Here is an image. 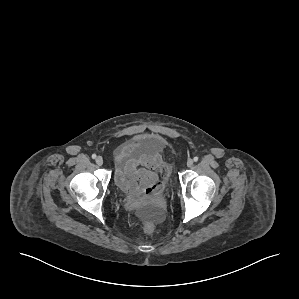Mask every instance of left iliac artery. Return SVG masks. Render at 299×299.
<instances>
[{"mask_svg": "<svg viewBox=\"0 0 299 299\" xmlns=\"http://www.w3.org/2000/svg\"><path fill=\"white\" fill-rule=\"evenodd\" d=\"M193 160H194V162H197L198 161V157H194Z\"/></svg>", "mask_w": 299, "mask_h": 299, "instance_id": "left-iliac-artery-1", "label": "left iliac artery"}]
</instances>
